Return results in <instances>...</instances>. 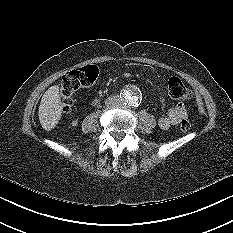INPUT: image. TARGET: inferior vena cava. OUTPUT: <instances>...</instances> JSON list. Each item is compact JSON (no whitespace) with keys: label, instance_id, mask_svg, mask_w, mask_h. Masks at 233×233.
<instances>
[{"label":"inferior vena cava","instance_id":"inferior-vena-cava-1","mask_svg":"<svg viewBox=\"0 0 233 233\" xmlns=\"http://www.w3.org/2000/svg\"><path fill=\"white\" fill-rule=\"evenodd\" d=\"M105 104L110 107H119L121 105V100L119 96H111L106 99Z\"/></svg>","mask_w":233,"mask_h":233}]
</instances>
